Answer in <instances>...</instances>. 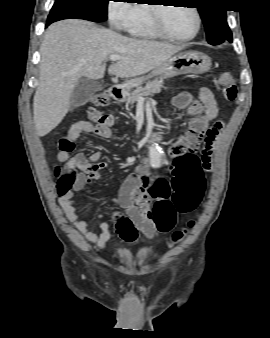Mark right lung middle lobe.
I'll list each match as a JSON object with an SVG mask.
<instances>
[{
  "mask_svg": "<svg viewBox=\"0 0 270 338\" xmlns=\"http://www.w3.org/2000/svg\"><path fill=\"white\" fill-rule=\"evenodd\" d=\"M109 0H55L48 16V23L62 19L76 18L93 22L107 19Z\"/></svg>",
  "mask_w": 270,
  "mask_h": 338,
  "instance_id": "right-lung-middle-lobe-1",
  "label": "right lung middle lobe"
}]
</instances>
